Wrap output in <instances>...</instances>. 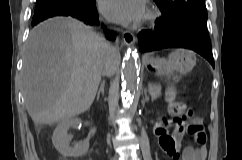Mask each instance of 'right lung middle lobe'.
Listing matches in <instances>:
<instances>
[{
  "instance_id": "obj_1",
  "label": "right lung middle lobe",
  "mask_w": 242,
  "mask_h": 160,
  "mask_svg": "<svg viewBox=\"0 0 242 160\" xmlns=\"http://www.w3.org/2000/svg\"><path fill=\"white\" fill-rule=\"evenodd\" d=\"M92 0H37L35 12L55 5H67L85 7L91 4Z\"/></svg>"
}]
</instances>
